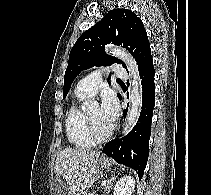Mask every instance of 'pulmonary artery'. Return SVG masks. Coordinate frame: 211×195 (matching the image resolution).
Wrapping results in <instances>:
<instances>
[{
  "mask_svg": "<svg viewBox=\"0 0 211 195\" xmlns=\"http://www.w3.org/2000/svg\"><path fill=\"white\" fill-rule=\"evenodd\" d=\"M112 71L116 76L122 79L127 78V72L120 64H113ZM101 82L102 72L101 70H96L78 82L75 92L79 95L92 97L97 93Z\"/></svg>",
  "mask_w": 211,
  "mask_h": 195,
  "instance_id": "e3ab8cb5",
  "label": "pulmonary artery"
}]
</instances>
